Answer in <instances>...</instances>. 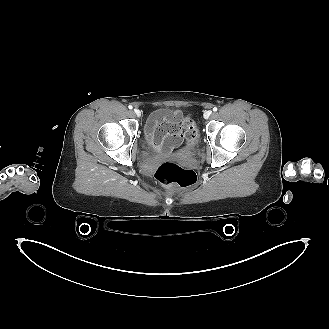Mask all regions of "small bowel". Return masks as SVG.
Listing matches in <instances>:
<instances>
[{"label":"small bowel","mask_w":329,"mask_h":329,"mask_svg":"<svg viewBox=\"0 0 329 329\" xmlns=\"http://www.w3.org/2000/svg\"><path fill=\"white\" fill-rule=\"evenodd\" d=\"M179 113L167 114L154 112L145 127L150 144L157 150L167 154L178 147L182 140V123Z\"/></svg>","instance_id":"1"}]
</instances>
